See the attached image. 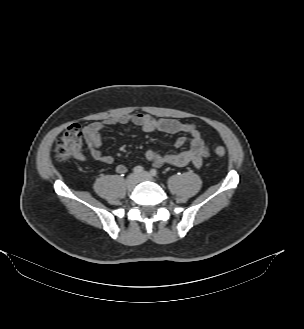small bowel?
Here are the masks:
<instances>
[{
    "label": "small bowel",
    "instance_id": "1",
    "mask_svg": "<svg viewBox=\"0 0 304 329\" xmlns=\"http://www.w3.org/2000/svg\"><path fill=\"white\" fill-rule=\"evenodd\" d=\"M129 123L138 126L144 132L160 131L169 134L185 133L189 135L190 148L186 151L161 153L153 149H148L145 152V157L155 166L172 165L181 167L191 163L196 167H200L209 155L208 146L193 123H182L175 119L155 118L150 114L139 112L93 122L84 126L83 131L90 156L97 162L107 165L112 164L114 158L111 155L103 154L100 150L102 132L107 126L126 125ZM185 142V137H179L176 145L181 147ZM78 159L84 161L86 156L79 155ZM116 171L120 174L125 173L126 166L119 164L116 167Z\"/></svg>",
    "mask_w": 304,
    "mask_h": 329
}]
</instances>
